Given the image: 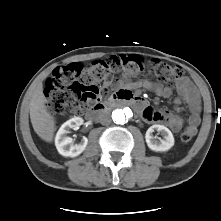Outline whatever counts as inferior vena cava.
I'll list each match as a JSON object with an SVG mask.
<instances>
[{"label": "inferior vena cava", "instance_id": "inferior-vena-cava-1", "mask_svg": "<svg viewBox=\"0 0 221 221\" xmlns=\"http://www.w3.org/2000/svg\"><path fill=\"white\" fill-rule=\"evenodd\" d=\"M99 121L102 125H109L111 123V117L108 112H102L99 115Z\"/></svg>", "mask_w": 221, "mask_h": 221}]
</instances>
